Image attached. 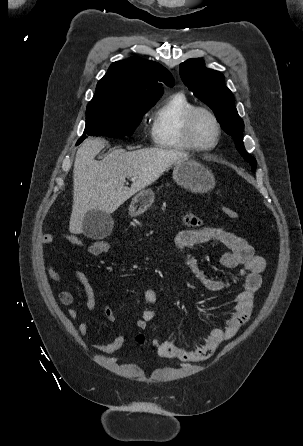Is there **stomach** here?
I'll return each instance as SVG.
<instances>
[{
    "mask_svg": "<svg viewBox=\"0 0 303 446\" xmlns=\"http://www.w3.org/2000/svg\"><path fill=\"white\" fill-rule=\"evenodd\" d=\"M173 179L178 185L194 193H206L215 185V179L212 172L202 164L188 158L174 164ZM153 202V191L151 189H144L137 193L132 199L129 206V214L131 216L140 215L144 213Z\"/></svg>",
    "mask_w": 303,
    "mask_h": 446,
    "instance_id": "1",
    "label": "stomach"
}]
</instances>
